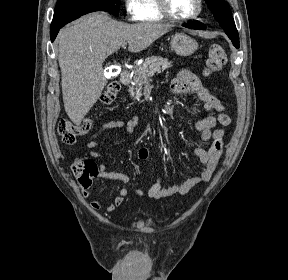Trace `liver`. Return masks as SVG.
<instances>
[{
  "instance_id": "obj_1",
  "label": "liver",
  "mask_w": 288,
  "mask_h": 280,
  "mask_svg": "<svg viewBox=\"0 0 288 280\" xmlns=\"http://www.w3.org/2000/svg\"><path fill=\"white\" fill-rule=\"evenodd\" d=\"M171 26L160 23L127 24L105 12L81 17L59 33L58 61L64 107L71 121L80 125L99 99L107 79L102 64L123 43L138 53L166 34Z\"/></svg>"
}]
</instances>
